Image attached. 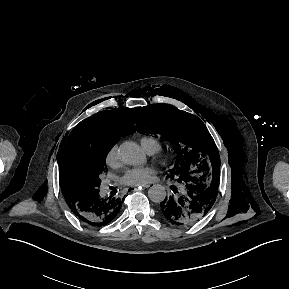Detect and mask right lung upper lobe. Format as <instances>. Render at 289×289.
I'll return each instance as SVG.
<instances>
[{
	"mask_svg": "<svg viewBox=\"0 0 289 289\" xmlns=\"http://www.w3.org/2000/svg\"><path fill=\"white\" fill-rule=\"evenodd\" d=\"M135 108H118L104 110L96 115L81 121L70 133L67 140L61 145L59 157V175L63 195L66 202L73 203L80 199L74 188L70 169L72 163L80 156L93 151L100 144L114 142V145L123 135L136 131Z\"/></svg>",
	"mask_w": 289,
	"mask_h": 289,
	"instance_id": "right-lung-upper-lobe-1",
	"label": "right lung upper lobe"
}]
</instances>
